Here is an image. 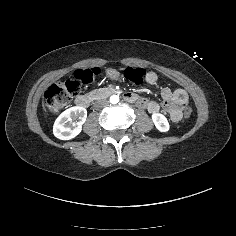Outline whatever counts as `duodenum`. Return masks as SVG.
<instances>
[{"label": "duodenum", "mask_w": 236, "mask_h": 236, "mask_svg": "<svg viewBox=\"0 0 236 236\" xmlns=\"http://www.w3.org/2000/svg\"><path fill=\"white\" fill-rule=\"evenodd\" d=\"M116 93L113 88H103L95 92L93 95H79L75 99L76 106L80 108H87L90 105L92 98L107 97ZM125 99L129 102H135L139 108L146 109L156 112L159 109V105L156 103H149L147 100L137 98L132 93H126ZM163 109L169 114V116L175 120L178 116V99L176 96L168 99L163 104Z\"/></svg>", "instance_id": "duodenum-1"}]
</instances>
